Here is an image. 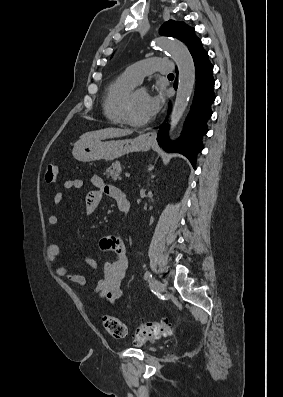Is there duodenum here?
Returning <instances> with one entry per match:
<instances>
[{"instance_id":"obj_1","label":"duodenum","mask_w":283,"mask_h":397,"mask_svg":"<svg viewBox=\"0 0 283 397\" xmlns=\"http://www.w3.org/2000/svg\"><path fill=\"white\" fill-rule=\"evenodd\" d=\"M119 208H120V210H121L123 213H128V211H129V209H130V205H129L128 200H124V201L120 204Z\"/></svg>"}]
</instances>
